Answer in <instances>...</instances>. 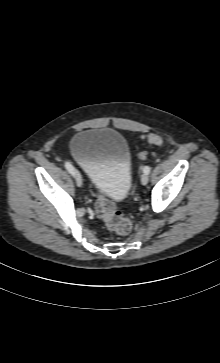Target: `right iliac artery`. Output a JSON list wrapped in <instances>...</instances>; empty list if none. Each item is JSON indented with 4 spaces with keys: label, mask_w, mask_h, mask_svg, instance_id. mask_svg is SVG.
<instances>
[{
    "label": "right iliac artery",
    "mask_w": 220,
    "mask_h": 363,
    "mask_svg": "<svg viewBox=\"0 0 220 363\" xmlns=\"http://www.w3.org/2000/svg\"><path fill=\"white\" fill-rule=\"evenodd\" d=\"M65 168L69 173H71L72 175L74 174V167L70 162H65Z\"/></svg>",
    "instance_id": "82829eb1"
}]
</instances>
